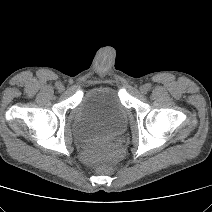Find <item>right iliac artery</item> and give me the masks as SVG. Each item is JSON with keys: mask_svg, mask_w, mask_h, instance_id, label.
<instances>
[{"mask_svg": "<svg viewBox=\"0 0 212 212\" xmlns=\"http://www.w3.org/2000/svg\"><path fill=\"white\" fill-rule=\"evenodd\" d=\"M59 85H60V83L57 82V83H56V87H59Z\"/></svg>", "mask_w": 212, "mask_h": 212, "instance_id": "82829eb1", "label": "right iliac artery"}]
</instances>
